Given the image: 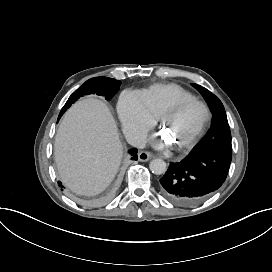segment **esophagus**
I'll list each match as a JSON object with an SVG mask.
<instances>
[{
	"label": "esophagus",
	"mask_w": 272,
	"mask_h": 272,
	"mask_svg": "<svg viewBox=\"0 0 272 272\" xmlns=\"http://www.w3.org/2000/svg\"><path fill=\"white\" fill-rule=\"evenodd\" d=\"M152 158V155L146 151H140L138 153V160L142 162L149 161Z\"/></svg>",
	"instance_id": "esophagus-1"
}]
</instances>
